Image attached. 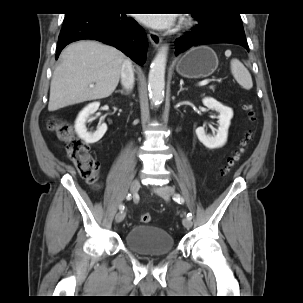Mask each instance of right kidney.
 Returning a JSON list of instances; mask_svg holds the SVG:
<instances>
[{"mask_svg": "<svg viewBox=\"0 0 303 303\" xmlns=\"http://www.w3.org/2000/svg\"><path fill=\"white\" fill-rule=\"evenodd\" d=\"M100 106L99 102H93L87 105L78 115L75 121V131L78 136L83 139L88 144H93L98 142L106 133L107 125L102 123L97 127L95 132H88L86 128V122L92 121L94 118L90 117L94 114Z\"/></svg>", "mask_w": 303, "mask_h": 303, "instance_id": "obj_1", "label": "right kidney"}]
</instances>
